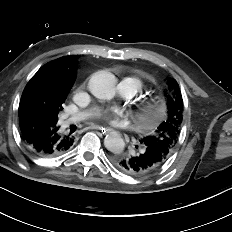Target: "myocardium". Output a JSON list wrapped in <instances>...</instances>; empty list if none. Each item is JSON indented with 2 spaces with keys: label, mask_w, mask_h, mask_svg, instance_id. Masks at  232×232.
<instances>
[{
  "label": "myocardium",
  "mask_w": 232,
  "mask_h": 232,
  "mask_svg": "<svg viewBox=\"0 0 232 232\" xmlns=\"http://www.w3.org/2000/svg\"><path fill=\"white\" fill-rule=\"evenodd\" d=\"M163 108L159 100L148 99L141 103L137 117L142 124H151L159 120Z\"/></svg>",
  "instance_id": "myocardium-1"
}]
</instances>
